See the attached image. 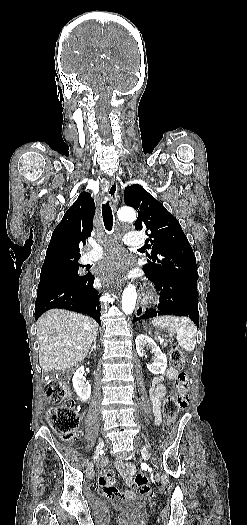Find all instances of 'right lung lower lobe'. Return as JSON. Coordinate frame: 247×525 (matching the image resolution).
Returning <instances> with one entry per match:
<instances>
[{
	"label": "right lung lower lobe",
	"instance_id": "right-lung-lower-lobe-1",
	"mask_svg": "<svg viewBox=\"0 0 247 525\" xmlns=\"http://www.w3.org/2000/svg\"><path fill=\"white\" fill-rule=\"evenodd\" d=\"M93 282L94 276L87 274L76 281L57 282L37 290L35 319L49 309L63 308L87 314L101 324L99 293Z\"/></svg>",
	"mask_w": 247,
	"mask_h": 525
}]
</instances>
